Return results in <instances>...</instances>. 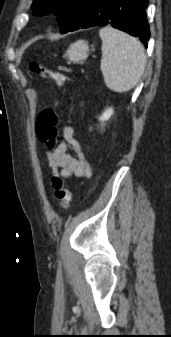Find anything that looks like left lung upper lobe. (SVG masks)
Wrapping results in <instances>:
<instances>
[{
    "label": "left lung upper lobe",
    "instance_id": "5c2ea615",
    "mask_svg": "<svg viewBox=\"0 0 171 337\" xmlns=\"http://www.w3.org/2000/svg\"><path fill=\"white\" fill-rule=\"evenodd\" d=\"M85 0H34L32 10L34 15H44L51 12L59 13L61 33H67L76 23Z\"/></svg>",
    "mask_w": 171,
    "mask_h": 337
}]
</instances>
